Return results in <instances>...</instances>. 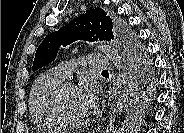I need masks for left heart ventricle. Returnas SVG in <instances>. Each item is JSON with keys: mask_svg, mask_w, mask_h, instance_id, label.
Returning a JSON list of instances; mask_svg holds the SVG:
<instances>
[{"mask_svg": "<svg viewBox=\"0 0 184 133\" xmlns=\"http://www.w3.org/2000/svg\"><path fill=\"white\" fill-rule=\"evenodd\" d=\"M62 109L68 117L79 118L87 113V108L81 101L77 88H68L61 98Z\"/></svg>", "mask_w": 184, "mask_h": 133, "instance_id": "left-heart-ventricle-1", "label": "left heart ventricle"}]
</instances>
